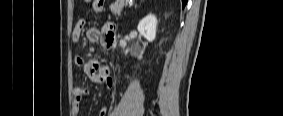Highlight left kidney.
I'll return each mask as SVG.
<instances>
[{
  "label": "left kidney",
  "mask_w": 283,
  "mask_h": 116,
  "mask_svg": "<svg viewBox=\"0 0 283 116\" xmlns=\"http://www.w3.org/2000/svg\"><path fill=\"white\" fill-rule=\"evenodd\" d=\"M157 18L153 14L144 17L137 26L138 31L148 42L154 41L156 37Z\"/></svg>",
  "instance_id": "1"
}]
</instances>
